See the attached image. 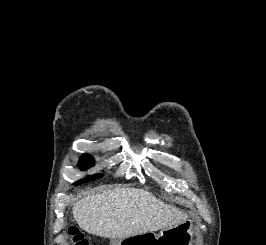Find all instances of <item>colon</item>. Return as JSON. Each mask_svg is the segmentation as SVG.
<instances>
[{"label": "colon", "instance_id": "obj_1", "mask_svg": "<svg viewBox=\"0 0 266 245\" xmlns=\"http://www.w3.org/2000/svg\"><path fill=\"white\" fill-rule=\"evenodd\" d=\"M67 231L73 245H89V242L75 226H69Z\"/></svg>", "mask_w": 266, "mask_h": 245}]
</instances>
